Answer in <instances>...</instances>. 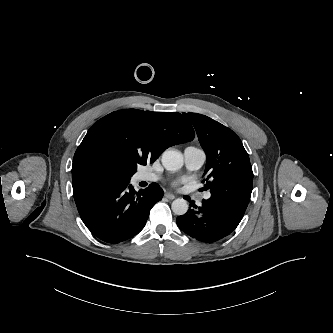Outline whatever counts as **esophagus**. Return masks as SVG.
Wrapping results in <instances>:
<instances>
[{
    "label": "esophagus",
    "instance_id": "34e87169",
    "mask_svg": "<svg viewBox=\"0 0 333 333\" xmlns=\"http://www.w3.org/2000/svg\"><path fill=\"white\" fill-rule=\"evenodd\" d=\"M164 196H165L167 199H169V200H173V199L175 198V196H174L173 194L168 193V192L165 193Z\"/></svg>",
    "mask_w": 333,
    "mask_h": 333
}]
</instances>
